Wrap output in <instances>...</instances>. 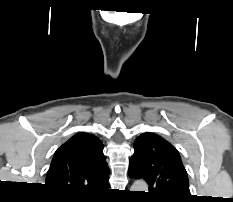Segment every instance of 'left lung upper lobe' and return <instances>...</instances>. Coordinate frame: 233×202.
Wrapping results in <instances>:
<instances>
[{
	"label": "left lung upper lobe",
	"instance_id": "obj_1",
	"mask_svg": "<svg viewBox=\"0 0 233 202\" xmlns=\"http://www.w3.org/2000/svg\"><path fill=\"white\" fill-rule=\"evenodd\" d=\"M134 149L129 175L148 182L153 201L187 202L191 198L187 172L169 142L146 132L135 140Z\"/></svg>",
	"mask_w": 233,
	"mask_h": 202
}]
</instances>
